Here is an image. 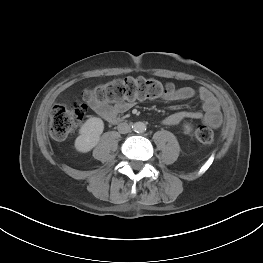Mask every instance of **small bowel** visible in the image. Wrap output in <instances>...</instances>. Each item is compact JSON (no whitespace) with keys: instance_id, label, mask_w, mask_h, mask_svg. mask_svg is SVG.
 Segmentation results:
<instances>
[{"instance_id":"obj_1","label":"small bowel","mask_w":263,"mask_h":263,"mask_svg":"<svg viewBox=\"0 0 263 263\" xmlns=\"http://www.w3.org/2000/svg\"><path fill=\"white\" fill-rule=\"evenodd\" d=\"M196 95V91L188 86L178 88L169 95L167 100H187ZM198 96L202 102V111L181 110L166 116L162 123L167 126L177 125L185 119H201L212 127H219L222 116L217 99L205 87L198 89ZM89 107L106 120H114L118 114L127 111L133 104L132 101L109 105L96 100H87Z\"/></svg>"}]
</instances>
